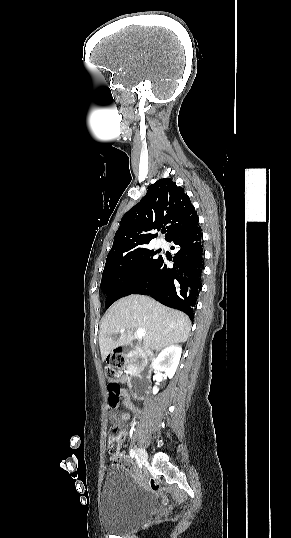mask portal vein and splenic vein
I'll list each match as a JSON object with an SVG mask.
<instances>
[{"instance_id":"1","label":"portal vein and splenic vein","mask_w":291,"mask_h":538,"mask_svg":"<svg viewBox=\"0 0 291 538\" xmlns=\"http://www.w3.org/2000/svg\"><path fill=\"white\" fill-rule=\"evenodd\" d=\"M125 330L122 328L120 330L121 333H123ZM145 335V331L142 328L136 329V336L141 339Z\"/></svg>"}]
</instances>
